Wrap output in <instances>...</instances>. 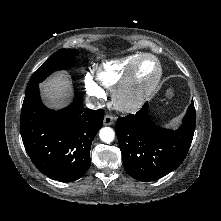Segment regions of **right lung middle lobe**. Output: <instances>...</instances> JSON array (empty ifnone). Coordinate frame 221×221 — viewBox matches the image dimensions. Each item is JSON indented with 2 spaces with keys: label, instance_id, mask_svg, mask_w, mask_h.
<instances>
[{
  "label": "right lung middle lobe",
  "instance_id": "dd1d6c3e",
  "mask_svg": "<svg viewBox=\"0 0 221 221\" xmlns=\"http://www.w3.org/2000/svg\"><path fill=\"white\" fill-rule=\"evenodd\" d=\"M76 55L77 51L74 49H61L55 52L34 72L27 85L26 93L38 87V84L52 72L70 67Z\"/></svg>",
  "mask_w": 221,
  "mask_h": 221
}]
</instances>
